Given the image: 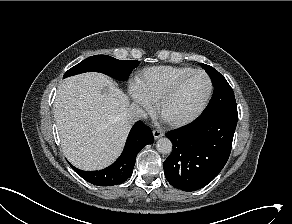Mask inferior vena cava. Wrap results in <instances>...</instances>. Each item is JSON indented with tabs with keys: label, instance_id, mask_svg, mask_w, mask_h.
Segmentation results:
<instances>
[{
	"label": "inferior vena cava",
	"instance_id": "inferior-vena-cava-1",
	"mask_svg": "<svg viewBox=\"0 0 292 224\" xmlns=\"http://www.w3.org/2000/svg\"><path fill=\"white\" fill-rule=\"evenodd\" d=\"M127 118L130 122H135L140 119L146 118V112L139 107L137 104H131L130 107L127 109Z\"/></svg>",
	"mask_w": 292,
	"mask_h": 224
}]
</instances>
